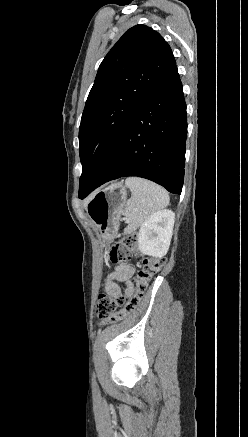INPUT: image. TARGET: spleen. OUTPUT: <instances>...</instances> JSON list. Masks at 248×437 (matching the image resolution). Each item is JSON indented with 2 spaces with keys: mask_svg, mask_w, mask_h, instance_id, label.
<instances>
[{
  "mask_svg": "<svg viewBox=\"0 0 248 437\" xmlns=\"http://www.w3.org/2000/svg\"><path fill=\"white\" fill-rule=\"evenodd\" d=\"M125 186L132 192L124 209L128 223L124 232L130 234L142 226L152 214L168 206L170 198L164 188L142 178H127Z\"/></svg>",
  "mask_w": 248,
  "mask_h": 437,
  "instance_id": "1",
  "label": "spleen"
}]
</instances>
